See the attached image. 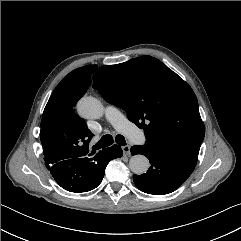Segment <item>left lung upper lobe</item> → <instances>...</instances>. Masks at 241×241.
I'll return each mask as SVG.
<instances>
[{
	"label": "left lung upper lobe",
	"mask_w": 241,
	"mask_h": 241,
	"mask_svg": "<svg viewBox=\"0 0 241 241\" xmlns=\"http://www.w3.org/2000/svg\"><path fill=\"white\" fill-rule=\"evenodd\" d=\"M93 87L144 129L145 145L197 162L205 127L191 87L158 59L102 66Z\"/></svg>",
	"instance_id": "5c2ea615"
}]
</instances>
